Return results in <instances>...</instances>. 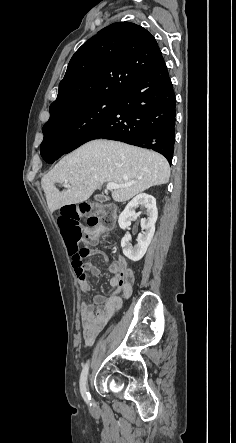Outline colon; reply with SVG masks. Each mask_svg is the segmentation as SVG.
Returning a JSON list of instances; mask_svg holds the SVG:
<instances>
[{"instance_id":"colon-1","label":"colon","mask_w":236,"mask_h":443,"mask_svg":"<svg viewBox=\"0 0 236 443\" xmlns=\"http://www.w3.org/2000/svg\"><path fill=\"white\" fill-rule=\"evenodd\" d=\"M81 218H86L87 224L99 233H107L115 227L116 212L112 206L86 201L79 204H66L60 208L58 226L72 259V266L79 269L84 266V260L91 253L90 248L81 246V242L90 237V234L80 226Z\"/></svg>"}]
</instances>
